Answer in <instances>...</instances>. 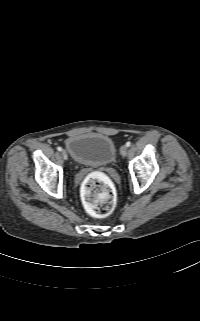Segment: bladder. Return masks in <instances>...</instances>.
Wrapping results in <instances>:
<instances>
[{
	"label": "bladder",
	"mask_w": 200,
	"mask_h": 321,
	"mask_svg": "<svg viewBox=\"0 0 200 321\" xmlns=\"http://www.w3.org/2000/svg\"><path fill=\"white\" fill-rule=\"evenodd\" d=\"M65 147L71 158L86 166H103L114 161L116 146L114 141L99 133H82L70 136Z\"/></svg>",
	"instance_id": "obj_1"
}]
</instances>
